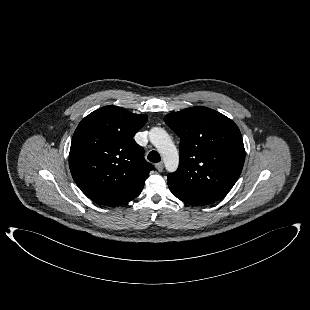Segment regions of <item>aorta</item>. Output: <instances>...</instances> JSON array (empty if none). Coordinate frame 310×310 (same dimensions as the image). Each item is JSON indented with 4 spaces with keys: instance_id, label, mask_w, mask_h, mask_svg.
<instances>
[{
    "instance_id": "obj_1",
    "label": "aorta",
    "mask_w": 310,
    "mask_h": 310,
    "mask_svg": "<svg viewBox=\"0 0 310 310\" xmlns=\"http://www.w3.org/2000/svg\"><path fill=\"white\" fill-rule=\"evenodd\" d=\"M149 140L161 154L165 167L169 172H174L178 168V150L168 133L160 127H153L149 131Z\"/></svg>"
}]
</instances>
